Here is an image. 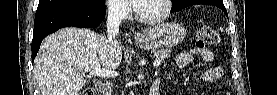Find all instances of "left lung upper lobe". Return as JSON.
I'll list each match as a JSON object with an SVG mask.
<instances>
[{"mask_svg":"<svg viewBox=\"0 0 277 95\" xmlns=\"http://www.w3.org/2000/svg\"><path fill=\"white\" fill-rule=\"evenodd\" d=\"M193 0H172L173 5L171 8V12L177 11L183 8L186 4L192 2Z\"/></svg>","mask_w":277,"mask_h":95,"instance_id":"1","label":"left lung upper lobe"}]
</instances>
